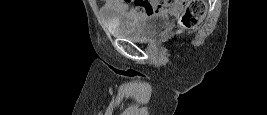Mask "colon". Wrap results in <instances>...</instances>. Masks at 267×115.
Wrapping results in <instances>:
<instances>
[{
  "label": "colon",
  "instance_id": "1",
  "mask_svg": "<svg viewBox=\"0 0 267 115\" xmlns=\"http://www.w3.org/2000/svg\"><path fill=\"white\" fill-rule=\"evenodd\" d=\"M206 5L202 1L192 0L188 1L181 14V22L184 26L191 28L198 24L202 15L204 14ZM138 10L141 13H152L153 8L149 5L140 3Z\"/></svg>",
  "mask_w": 267,
  "mask_h": 115
}]
</instances>
